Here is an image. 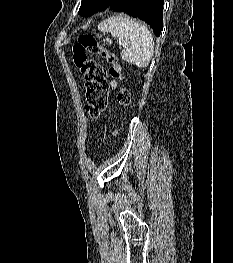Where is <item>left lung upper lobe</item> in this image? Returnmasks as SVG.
<instances>
[{"mask_svg":"<svg viewBox=\"0 0 233 263\" xmlns=\"http://www.w3.org/2000/svg\"><path fill=\"white\" fill-rule=\"evenodd\" d=\"M114 1L115 0H82L79 13L83 16H90L95 12L108 9Z\"/></svg>","mask_w":233,"mask_h":263,"instance_id":"left-lung-upper-lobe-1","label":"left lung upper lobe"}]
</instances>
